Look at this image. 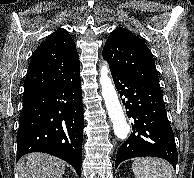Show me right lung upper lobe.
I'll list each match as a JSON object with an SVG mask.
<instances>
[{
  "mask_svg": "<svg viewBox=\"0 0 194 178\" xmlns=\"http://www.w3.org/2000/svg\"><path fill=\"white\" fill-rule=\"evenodd\" d=\"M80 77L79 57L68 31L58 29L32 54L24 83V93Z\"/></svg>",
  "mask_w": 194,
  "mask_h": 178,
  "instance_id": "cb5924a9",
  "label": "right lung upper lobe"
}]
</instances>
